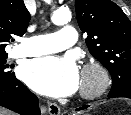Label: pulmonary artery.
Instances as JSON below:
<instances>
[{"mask_svg":"<svg viewBox=\"0 0 131 115\" xmlns=\"http://www.w3.org/2000/svg\"><path fill=\"white\" fill-rule=\"evenodd\" d=\"M77 40V32L72 26H65L58 32L24 38L14 50L15 57L39 56L64 50Z\"/></svg>","mask_w":131,"mask_h":115,"instance_id":"pulmonary-artery-1","label":"pulmonary artery"}]
</instances>
